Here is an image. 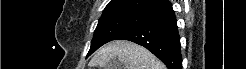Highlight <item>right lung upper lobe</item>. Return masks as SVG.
<instances>
[{
  "label": "right lung upper lobe",
  "mask_w": 246,
  "mask_h": 69,
  "mask_svg": "<svg viewBox=\"0 0 246 69\" xmlns=\"http://www.w3.org/2000/svg\"><path fill=\"white\" fill-rule=\"evenodd\" d=\"M167 2L168 0H111L100 19L121 15H142L146 11Z\"/></svg>",
  "instance_id": "right-lung-upper-lobe-1"
}]
</instances>
